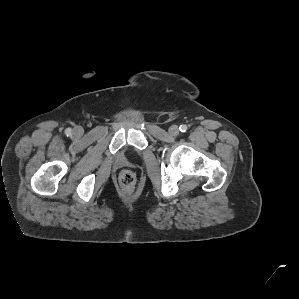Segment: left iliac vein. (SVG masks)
<instances>
[{
    "label": "left iliac vein",
    "mask_w": 299,
    "mask_h": 299,
    "mask_svg": "<svg viewBox=\"0 0 299 299\" xmlns=\"http://www.w3.org/2000/svg\"><path fill=\"white\" fill-rule=\"evenodd\" d=\"M169 134L172 136H177L179 134V127L177 125H172L169 128Z\"/></svg>",
    "instance_id": "4c4485c4"
}]
</instances>
